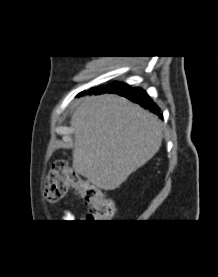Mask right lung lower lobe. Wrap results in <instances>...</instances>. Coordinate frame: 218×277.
I'll use <instances>...</instances> for the list:
<instances>
[{
	"instance_id": "1",
	"label": "right lung lower lobe",
	"mask_w": 218,
	"mask_h": 277,
	"mask_svg": "<svg viewBox=\"0 0 218 277\" xmlns=\"http://www.w3.org/2000/svg\"><path fill=\"white\" fill-rule=\"evenodd\" d=\"M100 92H101V88H98L95 90L91 89L89 91V93H94V94H97V93L100 94ZM108 92L115 93V94L121 95L123 97H126V98L130 99L131 101L138 103L142 107L150 110L151 112L159 115V117L162 118V114H160L159 108L155 104L152 103V100L150 99V97L142 89H139V88L131 89L130 87H127L124 89L108 91ZM82 93H84V92H82ZM102 93H105V92H102Z\"/></svg>"
}]
</instances>
